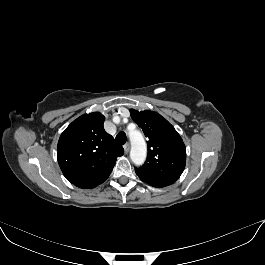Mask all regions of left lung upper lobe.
I'll use <instances>...</instances> for the list:
<instances>
[{
	"mask_svg": "<svg viewBox=\"0 0 265 265\" xmlns=\"http://www.w3.org/2000/svg\"><path fill=\"white\" fill-rule=\"evenodd\" d=\"M131 117L148 138L145 164L136 173L176 181L185 168V144L175 128L157 112L130 110Z\"/></svg>",
	"mask_w": 265,
	"mask_h": 265,
	"instance_id": "obj_1",
	"label": "left lung upper lobe"
}]
</instances>
